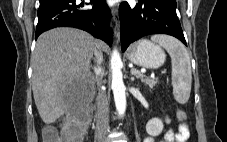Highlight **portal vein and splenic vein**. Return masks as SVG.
<instances>
[{
	"label": "portal vein and splenic vein",
	"mask_w": 227,
	"mask_h": 142,
	"mask_svg": "<svg viewBox=\"0 0 227 142\" xmlns=\"http://www.w3.org/2000/svg\"><path fill=\"white\" fill-rule=\"evenodd\" d=\"M132 74L134 75H137V74H141L139 71L135 70V69H132L131 70ZM143 73V72H142Z\"/></svg>",
	"instance_id": "portal-vein-and-splenic-vein-1"
}]
</instances>
